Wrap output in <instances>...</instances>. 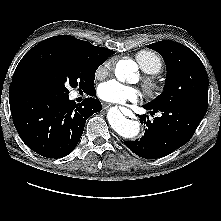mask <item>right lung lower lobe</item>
Masks as SVG:
<instances>
[{"label": "right lung lower lobe", "mask_w": 221, "mask_h": 221, "mask_svg": "<svg viewBox=\"0 0 221 221\" xmlns=\"http://www.w3.org/2000/svg\"><path fill=\"white\" fill-rule=\"evenodd\" d=\"M93 96L94 87L86 91ZM13 123L24 143L47 158H61L73 151L82 136L85 122L102 109L90 97L76 105L61 96L21 84L9 89Z\"/></svg>", "instance_id": "98d812e1"}]
</instances>
